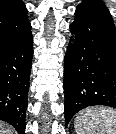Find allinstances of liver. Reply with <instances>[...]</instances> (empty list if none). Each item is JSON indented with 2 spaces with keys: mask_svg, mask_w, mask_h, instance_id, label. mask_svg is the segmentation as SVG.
Listing matches in <instances>:
<instances>
[{
  "mask_svg": "<svg viewBox=\"0 0 116 134\" xmlns=\"http://www.w3.org/2000/svg\"><path fill=\"white\" fill-rule=\"evenodd\" d=\"M0 134H13V131L4 123L0 122Z\"/></svg>",
  "mask_w": 116,
  "mask_h": 134,
  "instance_id": "1",
  "label": "liver"
}]
</instances>
